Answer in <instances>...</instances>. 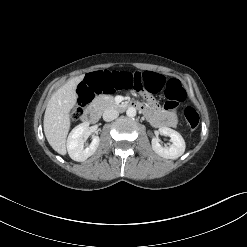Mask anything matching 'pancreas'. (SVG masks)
Here are the masks:
<instances>
[{
    "label": "pancreas",
    "mask_w": 247,
    "mask_h": 247,
    "mask_svg": "<svg viewBox=\"0 0 247 247\" xmlns=\"http://www.w3.org/2000/svg\"><path fill=\"white\" fill-rule=\"evenodd\" d=\"M96 107L100 110H105L109 107H114L116 104L114 102L113 97L111 96H100L98 99H96Z\"/></svg>",
    "instance_id": "obj_1"
}]
</instances>
